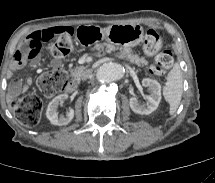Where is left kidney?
<instances>
[{"label":"left kidney","instance_id":"left-kidney-1","mask_svg":"<svg viewBox=\"0 0 215 183\" xmlns=\"http://www.w3.org/2000/svg\"><path fill=\"white\" fill-rule=\"evenodd\" d=\"M142 85L149 87L150 94L146 96V105H141L136 97L130 99V108L133 112L148 115L155 111L161 101V86L156 80L144 78Z\"/></svg>","mask_w":215,"mask_h":183}]
</instances>
